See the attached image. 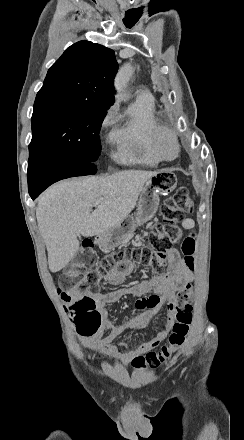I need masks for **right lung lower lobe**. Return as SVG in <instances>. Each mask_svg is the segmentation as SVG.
Segmentation results:
<instances>
[{"label":"right lung lower lobe","mask_w":244,"mask_h":440,"mask_svg":"<svg viewBox=\"0 0 244 440\" xmlns=\"http://www.w3.org/2000/svg\"><path fill=\"white\" fill-rule=\"evenodd\" d=\"M97 172L94 163H84L59 154H33L28 161V190L35 200L51 184L69 177Z\"/></svg>","instance_id":"98d812e1"}]
</instances>
